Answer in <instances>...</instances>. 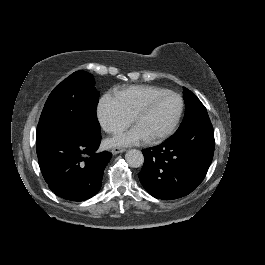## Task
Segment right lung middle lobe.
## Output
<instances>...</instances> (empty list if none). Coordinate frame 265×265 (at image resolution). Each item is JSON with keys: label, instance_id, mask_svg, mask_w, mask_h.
<instances>
[{"label": "right lung middle lobe", "instance_id": "dd1d6c3e", "mask_svg": "<svg viewBox=\"0 0 265 265\" xmlns=\"http://www.w3.org/2000/svg\"><path fill=\"white\" fill-rule=\"evenodd\" d=\"M93 76L77 71L58 84L50 93L42 110L36 139L57 129H78L100 133L96 115L99 92Z\"/></svg>", "mask_w": 265, "mask_h": 265}]
</instances>
